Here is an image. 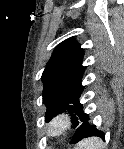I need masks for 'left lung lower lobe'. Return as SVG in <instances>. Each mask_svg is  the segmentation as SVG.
<instances>
[{
    "label": "left lung lower lobe",
    "instance_id": "left-lung-lower-lobe-1",
    "mask_svg": "<svg viewBox=\"0 0 124 149\" xmlns=\"http://www.w3.org/2000/svg\"><path fill=\"white\" fill-rule=\"evenodd\" d=\"M92 136L104 139V133L101 130L97 129V127L93 123H89L88 117L87 120L84 121L83 124L77 128L70 143H78L82 139Z\"/></svg>",
    "mask_w": 124,
    "mask_h": 149
}]
</instances>
